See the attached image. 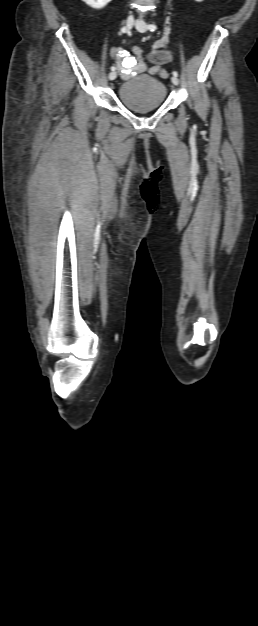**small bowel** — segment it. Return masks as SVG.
I'll use <instances>...</instances> for the list:
<instances>
[{
  "instance_id": "1",
  "label": "small bowel",
  "mask_w": 258,
  "mask_h": 626,
  "mask_svg": "<svg viewBox=\"0 0 258 626\" xmlns=\"http://www.w3.org/2000/svg\"><path fill=\"white\" fill-rule=\"evenodd\" d=\"M166 45H167L166 40L162 39L156 43L155 47H156V50H162L166 48ZM111 55L117 61L118 65H120L122 69H128L127 63L129 62H135V65L139 64V61L136 58L130 56L126 51L117 47L112 49ZM149 71L151 74H159L162 77L167 76L166 73L158 66H154L150 68Z\"/></svg>"
}]
</instances>
